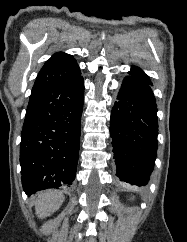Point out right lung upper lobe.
<instances>
[{
  "label": "right lung upper lobe",
  "mask_w": 187,
  "mask_h": 242,
  "mask_svg": "<svg viewBox=\"0 0 187 242\" xmlns=\"http://www.w3.org/2000/svg\"><path fill=\"white\" fill-rule=\"evenodd\" d=\"M80 73L79 66L72 55L63 52L55 53L40 70L32 91L65 83Z\"/></svg>",
  "instance_id": "cb5924a9"
}]
</instances>
